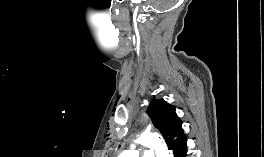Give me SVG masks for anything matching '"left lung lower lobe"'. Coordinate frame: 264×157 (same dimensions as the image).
I'll list each match as a JSON object with an SVG mask.
<instances>
[{"instance_id": "left-lung-lower-lobe-1", "label": "left lung lower lobe", "mask_w": 264, "mask_h": 157, "mask_svg": "<svg viewBox=\"0 0 264 157\" xmlns=\"http://www.w3.org/2000/svg\"><path fill=\"white\" fill-rule=\"evenodd\" d=\"M186 144H187V140L184 139L175 148L172 149L174 151V157H187L186 156V152H187Z\"/></svg>"}]
</instances>
